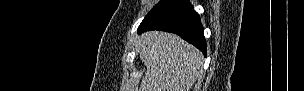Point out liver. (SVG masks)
Masks as SVG:
<instances>
[{"mask_svg":"<svg viewBox=\"0 0 304 91\" xmlns=\"http://www.w3.org/2000/svg\"><path fill=\"white\" fill-rule=\"evenodd\" d=\"M138 53L146 66L140 91H189L202 71L201 52L175 34H143Z\"/></svg>","mask_w":304,"mask_h":91,"instance_id":"6515ba94","label":"liver"}]
</instances>
